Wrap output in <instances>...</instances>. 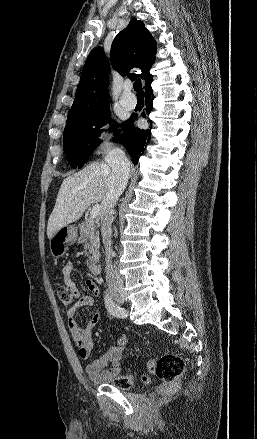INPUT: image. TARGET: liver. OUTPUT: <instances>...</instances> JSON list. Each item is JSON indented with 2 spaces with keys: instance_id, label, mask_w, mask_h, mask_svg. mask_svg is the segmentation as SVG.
Here are the masks:
<instances>
[{
  "instance_id": "6515ba94",
  "label": "liver",
  "mask_w": 257,
  "mask_h": 439,
  "mask_svg": "<svg viewBox=\"0 0 257 439\" xmlns=\"http://www.w3.org/2000/svg\"><path fill=\"white\" fill-rule=\"evenodd\" d=\"M111 174L112 168L106 162H93L63 180L48 219L49 239L63 226L81 218L92 203L104 200Z\"/></svg>"
}]
</instances>
